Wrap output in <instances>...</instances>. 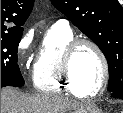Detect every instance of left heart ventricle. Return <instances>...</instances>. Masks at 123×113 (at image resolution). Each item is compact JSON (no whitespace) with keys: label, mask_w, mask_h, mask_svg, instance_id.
<instances>
[{"label":"left heart ventricle","mask_w":123,"mask_h":113,"mask_svg":"<svg viewBox=\"0 0 123 113\" xmlns=\"http://www.w3.org/2000/svg\"><path fill=\"white\" fill-rule=\"evenodd\" d=\"M72 74L76 86L87 93L99 87L103 69L100 58L93 48L82 46L79 49L73 59Z\"/></svg>","instance_id":"left-heart-ventricle-1"}]
</instances>
